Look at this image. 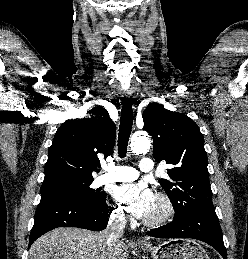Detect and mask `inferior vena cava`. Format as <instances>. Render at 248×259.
I'll list each match as a JSON object with an SVG mask.
<instances>
[{"mask_svg":"<svg viewBox=\"0 0 248 259\" xmlns=\"http://www.w3.org/2000/svg\"><path fill=\"white\" fill-rule=\"evenodd\" d=\"M126 220L123 214H111L106 229L102 232L108 246L116 244L124 233Z\"/></svg>","mask_w":248,"mask_h":259,"instance_id":"1","label":"inferior vena cava"}]
</instances>
